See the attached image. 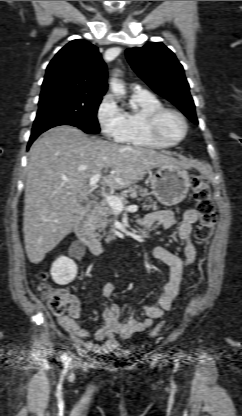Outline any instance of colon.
<instances>
[{
	"label": "colon",
	"instance_id": "colon-1",
	"mask_svg": "<svg viewBox=\"0 0 242 416\" xmlns=\"http://www.w3.org/2000/svg\"><path fill=\"white\" fill-rule=\"evenodd\" d=\"M192 190L196 201V209L199 221L194 230V237L199 243H205L211 237L217 224V212L209 181L205 176H195L192 179ZM39 289L43 298L47 301L51 311L56 316L63 315L70 298L65 290L52 288L48 283L46 272L39 274ZM161 326L155 327L151 332V337H156L161 331Z\"/></svg>",
	"mask_w": 242,
	"mask_h": 416
}]
</instances>
